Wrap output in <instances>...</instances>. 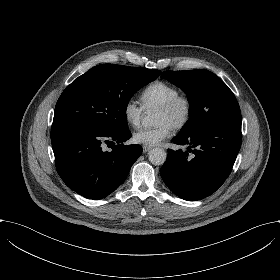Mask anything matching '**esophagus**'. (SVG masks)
Instances as JSON below:
<instances>
[{
	"label": "esophagus",
	"mask_w": 280,
	"mask_h": 280,
	"mask_svg": "<svg viewBox=\"0 0 280 280\" xmlns=\"http://www.w3.org/2000/svg\"><path fill=\"white\" fill-rule=\"evenodd\" d=\"M150 149H151L150 146H148V145H143V152H144V153L148 152Z\"/></svg>",
	"instance_id": "34e87169"
}]
</instances>
